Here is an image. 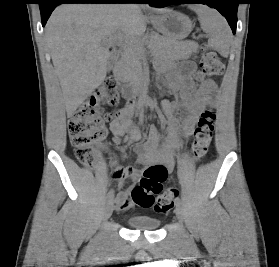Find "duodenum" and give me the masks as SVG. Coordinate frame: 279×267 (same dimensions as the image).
Here are the masks:
<instances>
[{
  "instance_id": "410a0bca",
  "label": "duodenum",
  "mask_w": 279,
  "mask_h": 267,
  "mask_svg": "<svg viewBox=\"0 0 279 267\" xmlns=\"http://www.w3.org/2000/svg\"><path fill=\"white\" fill-rule=\"evenodd\" d=\"M113 76L118 82H122L124 71H123V64L121 62H117L113 67ZM142 85L136 86H125L122 88V95L124 98L130 100V104H134L133 98L141 93Z\"/></svg>"
}]
</instances>
